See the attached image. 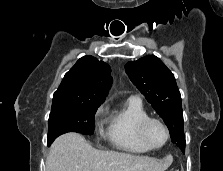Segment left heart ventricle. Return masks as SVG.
I'll list each match as a JSON object with an SVG mask.
<instances>
[{
    "mask_svg": "<svg viewBox=\"0 0 223 171\" xmlns=\"http://www.w3.org/2000/svg\"><path fill=\"white\" fill-rule=\"evenodd\" d=\"M147 135L149 140L154 145H161L166 138V133L163 127L158 123H152L148 127Z\"/></svg>",
    "mask_w": 223,
    "mask_h": 171,
    "instance_id": "obj_1",
    "label": "left heart ventricle"
}]
</instances>
